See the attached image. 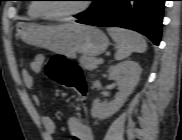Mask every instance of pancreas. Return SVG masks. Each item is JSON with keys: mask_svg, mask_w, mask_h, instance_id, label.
<instances>
[{"mask_svg": "<svg viewBox=\"0 0 182 140\" xmlns=\"http://www.w3.org/2000/svg\"><path fill=\"white\" fill-rule=\"evenodd\" d=\"M81 66L87 70H94L98 67L99 61L94 57L81 56L79 58Z\"/></svg>", "mask_w": 182, "mask_h": 140, "instance_id": "obj_1", "label": "pancreas"}]
</instances>
